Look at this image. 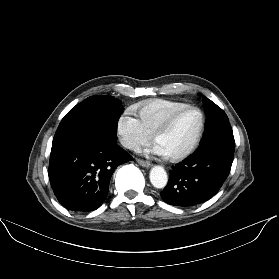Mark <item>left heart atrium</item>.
<instances>
[{
	"label": "left heart atrium",
	"instance_id": "obj_1",
	"mask_svg": "<svg viewBox=\"0 0 279 279\" xmlns=\"http://www.w3.org/2000/svg\"><path fill=\"white\" fill-rule=\"evenodd\" d=\"M145 153L147 155H155V156L167 157V154L164 151V149L159 144H157V143L155 145H153L151 148L147 149L145 151Z\"/></svg>",
	"mask_w": 279,
	"mask_h": 279
}]
</instances>
